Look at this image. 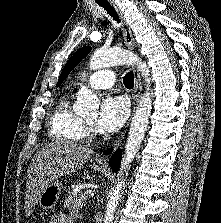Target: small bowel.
<instances>
[{
  "label": "small bowel",
  "mask_w": 221,
  "mask_h": 223,
  "mask_svg": "<svg viewBox=\"0 0 221 223\" xmlns=\"http://www.w3.org/2000/svg\"><path fill=\"white\" fill-rule=\"evenodd\" d=\"M73 219L74 214L59 213L52 218L50 223H72Z\"/></svg>",
  "instance_id": "1"
}]
</instances>
